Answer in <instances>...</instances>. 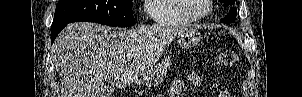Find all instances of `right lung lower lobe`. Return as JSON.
I'll use <instances>...</instances> for the list:
<instances>
[{
    "mask_svg": "<svg viewBox=\"0 0 302 97\" xmlns=\"http://www.w3.org/2000/svg\"><path fill=\"white\" fill-rule=\"evenodd\" d=\"M67 25V24H66ZM62 25L56 28H51V43L55 40L56 36L59 34V32L66 26Z\"/></svg>",
    "mask_w": 302,
    "mask_h": 97,
    "instance_id": "right-lung-lower-lobe-1",
    "label": "right lung lower lobe"
}]
</instances>
